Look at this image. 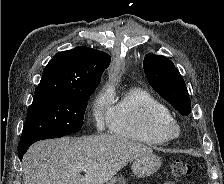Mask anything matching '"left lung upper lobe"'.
Instances as JSON below:
<instances>
[{
  "instance_id": "left-lung-upper-lobe-1",
  "label": "left lung upper lobe",
  "mask_w": 224,
  "mask_h": 184,
  "mask_svg": "<svg viewBox=\"0 0 224 184\" xmlns=\"http://www.w3.org/2000/svg\"><path fill=\"white\" fill-rule=\"evenodd\" d=\"M143 68L151 87L181 115H189L191 102L185 81L173 62L164 56L148 54Z\"/></svg>"
}]
</instances>
